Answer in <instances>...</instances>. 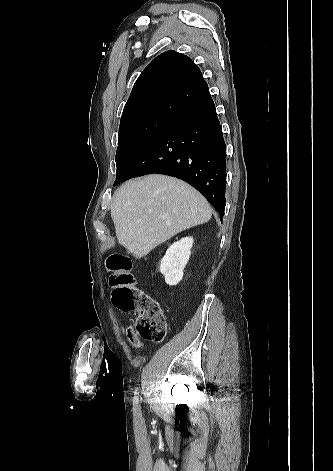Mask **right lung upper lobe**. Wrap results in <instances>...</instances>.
Listing matches in <instances>:
<instances>
[{
	"mask_svg": "<svg viewBox=\"0 0 333 471\" xmlns=\"http://www.w3.org/2000/svg\"><path fill=\"white\" fill-rule=\"evenodd\" d=\"M209 92L200 69L175 51H166L140 74L124 107L122 118L138 114L177 117Z\"/></svg>",
	"mask_w": 333,
	"mask_h": 471,
	"instance_id": "cb5924a9",
	"label": "right lung upper lobe"
}]
</instances>
